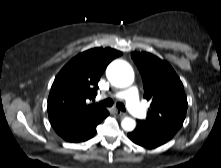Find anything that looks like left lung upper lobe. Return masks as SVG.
I'll use <instances>...</instances> for the list:
<instances>
[{
    "label": "left lung upper lobe",
    "mask_w": 221,
    "mask_h": 168,
    "mask_svg": "<svg viewBox=\"0 0 221 168\" xmlns=\"http://www.w3.org/2000/svg\"><path fill=\"white\" fill-rule=\"evenodd\" d=\"M143 80L144 97L151 102L146 123L173 135L182 127L187 98L183 84L167 61L146 52H133Z\"/></svg>",
    "instance_id": "obj_1"
}]
</instances>
